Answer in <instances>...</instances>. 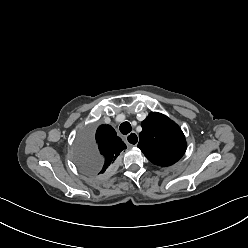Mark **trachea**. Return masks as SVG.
Instances as JSON below:
<instances>
[{"label":"trachea","mask_w":248,"mask_h":248,"mask_svg":"<svg viewBox=\"0 0 248 248\" xmlns=\"http://www.w3.org/2000/svg\"><path fill=\"white\" fill-rule=\"evenodd\" d=\"M120 132L124 135H127L131 131V124L129 122H123L120 127Z\"/></svg>","instance_id":"trachea-1"}]
</instances>
